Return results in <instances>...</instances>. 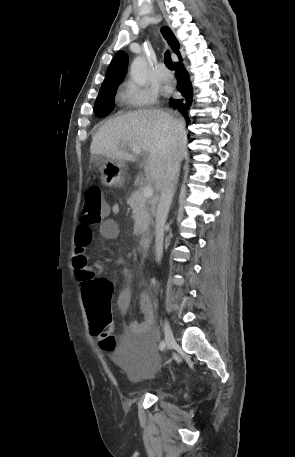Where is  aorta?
Returning <instances> with one entry per match:
<instances>
[{
    "label": "aorta",
    "instance_id": "aorta-1",
    "mask_svg": "<svg viewBox=\"0 0 295 457\" xmlns=\"http://www.w3.org/2000/svg\"><path fill=\"white\" fill-rule=\"evenodd\" d=\"M131 79L139 86H145L147 82V63L144 57L137 56L131 63Z\"/></svg>",
    "mask_w": 295,
    "mask_h": 457
}]
</instances>
